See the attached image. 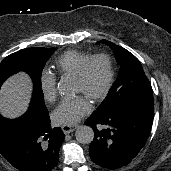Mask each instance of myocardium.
I'll list each match as a JSON object with an SVG mask.
<instances>
[{
	"label": "myocardium",
	"instance_id": "myocardium-1",
	"mask_svg": "<svg viewBox=\"0 0 171 171\" xmlns=\"http://www.w3.org/2000/svg\"><path fill=\"white\" fill-rule=\"evenodd\" d=\"M97 60H103L105 62L107 67V78L102 89L89 97L93 101H99L104 98L112 88L114 81V67L111 58L103 53L92 55L84 62L78 73L74 76L77 81L84 83L87 79L91 65Z\"/></svg>",
	"mask_w": 171,
	"mask_h": 171
}]
</instances>
